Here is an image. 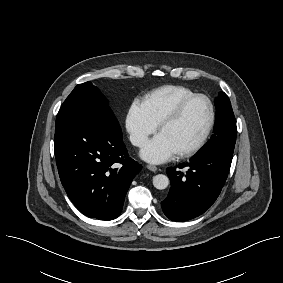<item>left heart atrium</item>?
Segmentation results:
<instances>
[{"label":"left heart atrium","instance_id":"39dd6f15","mask_svg":"<svg viewBox=\"0 0 283 283\" xmlns=\"http://www.w3.org/2000/svg\"><path fill=\"white\" fill-rule=\"evenodd\" d=\"M178 154L171 142L161 133L147 141L140 151L147 162L160 164L173 159Z\"/></svg>","mask_w":283,"mask_h":283}]
</instances>
